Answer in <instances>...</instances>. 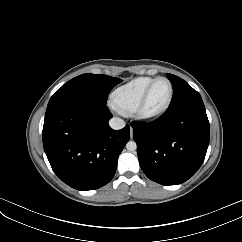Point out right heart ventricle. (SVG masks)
Segmentation results:
<instances>
[{
  "instance_id": "right-heart-ventricle-1",
  "label": "right heart ventricle",
  "mask_w": 242,
  "mask_h": 242,
  "mask_svg": "<svg viewBox=\"0 0 242 242\" xmlns=\"http://www.w3.org/2000/svg\"><path fill=\"white\" fill-rule=\"evenodd\" d=\"M153 79L152 77H138L118 87L113 92L116 108L124 114L133 113L135 106Z\"/></svg>"
}]
</instances>
